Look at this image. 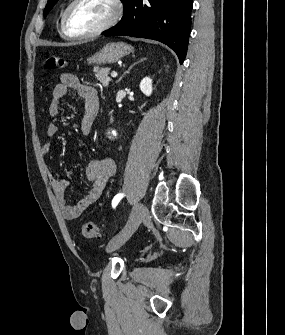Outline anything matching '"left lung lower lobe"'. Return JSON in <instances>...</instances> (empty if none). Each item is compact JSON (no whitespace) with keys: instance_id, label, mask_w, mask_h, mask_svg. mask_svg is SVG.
I'll use <instances>...</instances> for the list:
<instances>
[{"instance_id":"0a47b994","label":"left lung lower lobe","mask_w":285,"mask_h":335,"mask_svg":"<svg viewBox=\"0 0 285 335\" xmlns=\"http://www.w3.org/2000/svg\"><path fill=\"white\" fill-rule=\"evenodd\" d=\"M124 16L105 36L126 35L168 45L182 64L191 29L192 0H124Z\"/></svg>"}]
</instances>
